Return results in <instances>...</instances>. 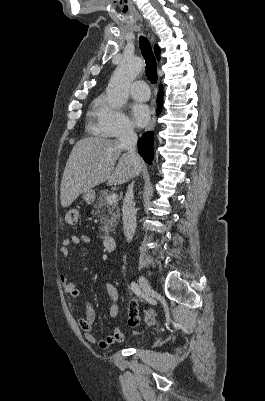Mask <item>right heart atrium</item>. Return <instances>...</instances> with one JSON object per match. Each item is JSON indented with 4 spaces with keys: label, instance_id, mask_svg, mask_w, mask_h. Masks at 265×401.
<instances>
[{
    "label": "right heart atrium",
    "instance_id": "d8ad5b80",
    "mask_svg": "<svg viewBox=\"0 0 265 401\" xmlns=\"http://www.w3.org/2000/svg\"><path fill=\"white\" fill-rule=\"evenodd\" d=\"M96 127L104 135L125 138L134 133V125L122 110L114 107L107 99H102L95 116Z\"/></svg>",
    "mask_w": 265,
    "mask_h": 401
}]
</instances>
